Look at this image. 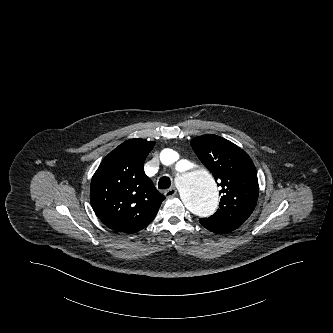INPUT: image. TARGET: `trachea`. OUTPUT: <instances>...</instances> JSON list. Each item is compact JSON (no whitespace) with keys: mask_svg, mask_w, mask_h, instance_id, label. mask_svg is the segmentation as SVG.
I'll return each instance as SVG.
<instances>
[{"mask_svg":"<svg viewBox=\"0 0 333 333\" xmlns=\"http://www.w3.org/2000/svg\"><path fill=\"white\" fill-rule=\"evenodd\" d=\"M171 186V180L169 177H161L159 179V183H158V188L159 189H167Z\"/></svg>","mask_w":333,"mask_h":333,"instance_id":"obj_1","label":"trachea"}]
</instances>
